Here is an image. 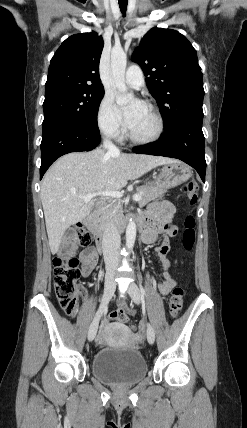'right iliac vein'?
<instances>
[{"label":"right iliac vein","instance_id":"right-iliac-vein-1","mask_svg":"<svg viewBox=\"0 0 247 428\" xmlns=\"http://www.w3.org/2000/svg\"><path fill=\"white\" fill-rule=\"evenodd\" d=\"M115 287H116V284L114 281V274L113 273L107 274L106 279H105L104 294H103L100 310L97 313V315L95 316V318L93 319V321L89 327V330H88V340L89 341H92L95 338L100 317H101L102 312H103L104 308L106 307L108 301L112 297V295L115 291Z\"/></svg>","mask_w":247,"mask_h":428}]
</instances>
